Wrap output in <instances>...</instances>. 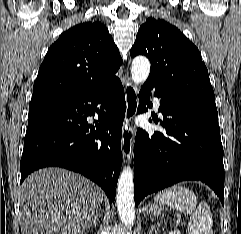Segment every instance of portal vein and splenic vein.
<instances>
[{"label": "portal vein and splenic vein", "instance_id": "18ae733b", "mask_svg": "<svg viewBox=\"0 0 241 234\" xmlns=\"http://www.w3.org/2000/svg\"><path fill=\"white\" fill-rule=\"evenodd\" d=\"M169 234H175L174 232H169Z\"/></svg>", "mask_w": 241, "mask_h": 234}]
</instances>
